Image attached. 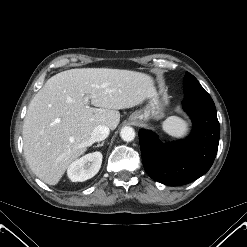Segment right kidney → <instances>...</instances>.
I'll return each instance as SVG.
<instances>
[{"instance_id":"obj_1","label":"right kidney","mask_w":247,"mask_h":247,"mask_svg":"<svg viewBox=\"0 0 247 247\" xmlns=\"http://www.w3.org/2000/svg\"><path fill=\"white\" fill-rule=\"evenodd\" d=\"M102 153L93 152L82 156L72 162L67 170V175L72 182H82L95 176L102 164Z\"/></svg>"}]
</instances>
